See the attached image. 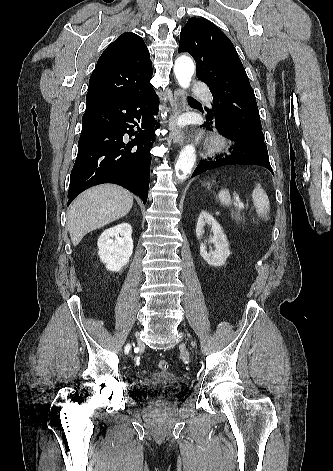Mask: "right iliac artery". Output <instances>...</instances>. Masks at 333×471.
Instances as JSON below:
<instances>
[{"label": "right iliac artery", "instance_id": "82829eb1", "mask_svg": "<svg viewBox=\"0 0 333 471\" xmlns=\"http://www.w3.org/2000/svg\"><path fill=\"white\" fill-rule=\"evenodd\" d=\"M130 350V345L128 344L126 347H125V352L128 353Z\"/></svg>", "mask_w": 333, "mask_h": 471}]
</instances>
